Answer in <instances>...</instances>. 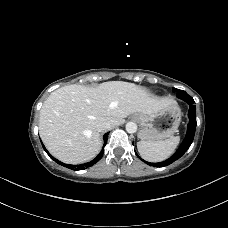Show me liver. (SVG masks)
<instances>
[{
	"mask_svg": "<svg viewBox=\"0 0 228 228\" xmlns=\"http://www.w3.org/2000/svg\"><path fill=\"white\" fill-rule=\"evenodd\" d=\"M170 101L134 83L109 81L95 88L72 84L52 92L40 110L39 134L48 151L70 164L92 160L101 150L97 126L124 123L133 113L152 114Z\"/></svg>",
	"mask_w": 228,
	"mask_h": 228,
	"instance_id": "obj_1",
	"label": "liver"
}]
</instances>
